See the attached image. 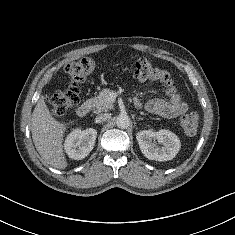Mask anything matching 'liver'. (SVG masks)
I'll return each instance as SVG.
<instances>
[{
  "mask_svg": "<svg viewBox=\"0 0 235 235\" xmlns=\"http://www.w3.org/2000/svg\"><path fill=\"white\" fill-rule=\"evenodd\" d=\"M71 124L74 121L70 122ZM70 123H61L52 117L44 97L32 113L31 132L34 145L41 157L52 167L65 169L67 161L63 152V137Z\"/></svg>",
  "mask_w": 235,
  "mask_h": 235,
  "instance_id": "6515ba94",
  "label": "liver"
}]
</instances>
